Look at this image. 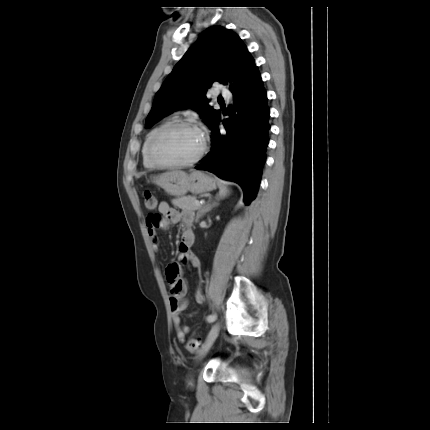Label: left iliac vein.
Masks as SVG:
<instances>
[{
	"label": "left iliac vein",
	"mask_w": 430,
	"mask_h": 430,
	"mask_svg": "<svg viewBox=\"0 0 430 430\" xmlns=\"http://www.w3.org/2000/svg\"><path fill=\"white\" fill-rule=\"evenodd\" d=\"M220 327L218 324H215L211 331L209 332L205 343L203 344L201 350L199 351V357L202 358L211 348L214 341L218 337Z\"/></svg>",
	"instance_id": "obj_1"
}]
</instances>
